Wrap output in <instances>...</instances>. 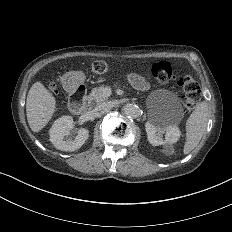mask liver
<instances>
[{"mask_svg":"<svg viewBox=\"0 0 232 232\" xmlns=\"http://www.w3.org/2000/svg\"><path fill=\"white\" fill-rule=\"evenodd\" d=\"M55 98L41 84L36 82L30 88L26 100V113L33 132H39L51 119L55 111Z\"/></svg>","mask_w":232,"mask_h":232,"instance_id":"liver-1","label":"liver"}]
</instances>
